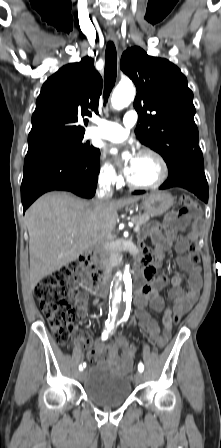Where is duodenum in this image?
Listing matches in <instances>:
<instances>
[{
  "mask_svg": "<svg viewBox=\"0 0 221 448\" xmlns=\"http://www.w3.org/2000/svg\"><path fill=\"white\" fill-rule=\"evenodd\" d=\"M145 253L139 256V265L145 261ZM83 271L88 281L89 291L97 296L104 295L107 288V274L99 268L93 258V253L88 252V257L83 265Z\"/></svg>",
  "mask_w": 221,
  "mask_h": 448,
  "instance_id": "duodenum-1",
  "label": "duodenum"
}]
</instances>
